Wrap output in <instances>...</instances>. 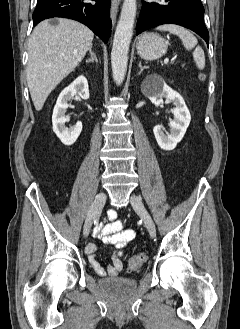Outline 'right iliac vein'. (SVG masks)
Wrapping results in <instances>:
<instances>
[{
	"label": "right iliac vein",
	"instance_id": "obj_1",
	"mask_svg": "<svg viewBox=\"0 0 240 329\" xmlns=\"http://www.w3.org/2000/svg\"><path fill=\"white\" fill-rule=\"evenodd\" d=\"M106 202V194L104 192H100L96 197L94 202L92 203L88 214L85 219L83 234L87 237L90 233L93 222L99 217L103 206Z\"/></svg>",
	"mask_w": 240,
	"mask_h": 329
}]
</instances>
